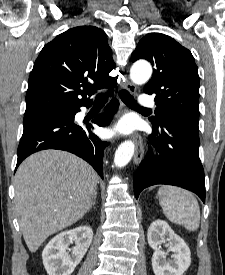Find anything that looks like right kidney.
Wrapping results in <instances>:
<instances>
[{"label": "right kidney", "mask_w": 225, "mask_h": 275, "mask_svg": "<svg viewBox=\"0 0 225 275\" xmlns=\"http://www.w3.org/2000/svg\"><path fill=\"white\" fill-rule=\"evenodd\" d=\"M92 238L93 231L89 226H80L56 235L42 252L48 275H71L87 252ZM72 241H75L76 246L72 254L68 255L66 250Z\"/></svg>", "instance_id": "right-kidney-1"}]
</instances>
